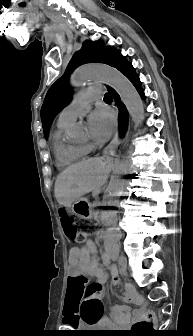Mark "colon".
Returning a JSON list of instances; mask_svg holds the SVG:
<instances>
[{
	"label": "colon",
	"instance_id": "5ec220e1",
	"mask_svg": "<svg viewBox=\"0 0 193 336\" xmlns=\"http://www.w3.org/2000/svg\"><path fill=\"white\" fill-rule=\"evenodd\" d=\"M61 224L64 233L69 241L78 243L80 241L79 229L77 227L76 219L66 213L61 214ZM80 292L85 297L82 304V317L85 322L92 324L95 323L101 315L98 299L96 295L101 292V285L97 282H88L82 278L78 282ZM154 313L150 309L144 311L143 318L137 321L130 330L131 336H145L153 329Z\"/></svg>",
	"mask_w": 193,
	"mask_h": 336
}]
</instances>
